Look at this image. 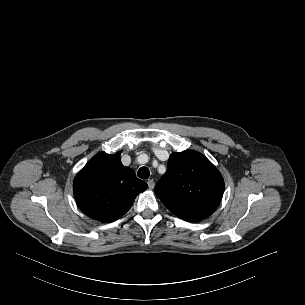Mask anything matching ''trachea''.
<instances>
[{"label":"trachea","mask_w":305,"mask_h":305,"mask_svg":"<svg viewBox=\"0 0 305 305\" xmlns=\"http://www.w3.org/2000/svg\"><path fill=\"white\" fill-rule=\"evenodd\" d=\"M137 175H138V177L141 178V179H148V178H149V175H150L149 169H148L147 167H141V168L138 170Z\"/></svg>","instance_id":"1"}]
</instances>
